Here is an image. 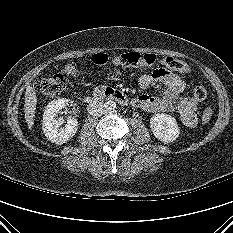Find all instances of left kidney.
Instances as JSON below:
<instances>
[{"instance_id":"5707ae66","label":"left kidney","mask_w":233,"mask_h":233,"mask_svg":"<svg viewBox=\"0 0 233 233\" xmlns=\"http://www.w3.org/2000/svg\"><path fill=\"white\" fill-rule=\"evenodd\" d=\"M150 127L154 136L165 143L175 141L180 134L176 119L167 114H156L150 119Z\"/></svg>"}]
</instances>
